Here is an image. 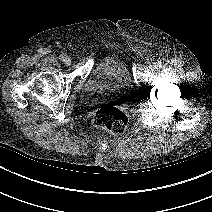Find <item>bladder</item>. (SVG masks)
I'll return each mask as SVG.
<instances>
[{"label":"bladder","mask_w":212,"mask_h":212,"mask_svg":"<svg viewBox=\"0 0 212 212\" xmlns=\"http://www.w3.org/2000/svg\"><path fill=\"white\" fill-rule=\"evenodd\" d=\"M131 74L125 60L111 56L95 66L87 77L79 100L94 105L104 98H127L132 91Z\"/></svg>","instance_id":"obj_1"}]
</instances>
